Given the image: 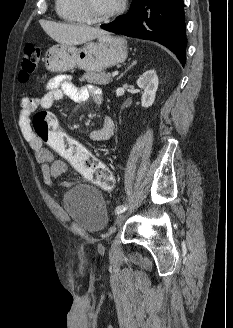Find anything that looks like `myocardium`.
Masks as SVG:
<instances>
[{
  "label": "myocardium",
  "mask_w": 233,
  "mask_h": 328,
  "mask_svg": "<svg viewBox=\"0 0 233 328\" xmlns=\"http://www.w3.org/2000/svg\"><path fill=\"white\" fill-rule=\"evenodd\" d=\"M78 2L86 19V22L93 24L108 22L109 20L120 15L126 8V0H120L118 6L115 9H113L107 14L96 16L91 13L88 0H78Z\"/></svg>",
  "instance_id": "1"
}]
</instances>
